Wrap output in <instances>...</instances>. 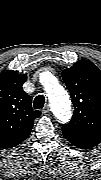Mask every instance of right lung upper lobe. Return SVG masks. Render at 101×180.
I'll return each instance as SVG.
<instances>
[{
  "instance_id": "1",
  "label": "right lung upper lobe",
  "mask_w": 101,
  "mask_h": 180,
  "mask_svg": "<svg viewBox=\"0 0 101 180\" xmlns=\"http://www.w3.org/2000/svg\"><path fill=\"white\" fill-rule=\"evenodd\" d=\"M26 74L8 70L0 73V147L12 148L28 138L35 118L41 115L31 106L22 86Z\"/></svg>"
}]
</instances>
